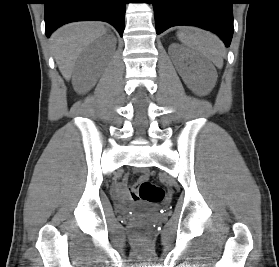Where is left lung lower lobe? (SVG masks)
I'll list each match as a JSON object with an SVG mask.
<instances>
[{"mask_svg": "<svg viewBox=\"0 0 279 267\" xmlns=\"http://www.w3.org/2000/svg\"><path fill=\"white\" fill-rule=\"evenodd\" d=\"M156 32L192 25L216 33L228 47L233 35V0H152Z\"/></svg>", "mask_w": 279, "mask_h": 267, "instance_id": "0a47b994", "label": "left lung lower lobe"}]
</instances>
